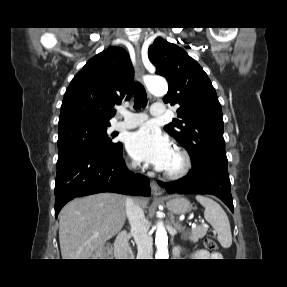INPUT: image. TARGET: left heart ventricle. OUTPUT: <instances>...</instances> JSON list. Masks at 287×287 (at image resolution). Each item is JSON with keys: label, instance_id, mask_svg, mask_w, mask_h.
<instances>
[{"label": "left heart ventricle", "instance_id": "left-heart-ventricle-1", "mask_svg": "<svg viewBox=\"0 0 287 287\" xmlns=\"http://www.w3.org/2000/svg\"><path fill=\"white\" fill-rule=\"evenodd\" d=\"M181 165L180 157L172 151L164 170H175Z\"/></svg>", "mask_w": 287, "mask_h": 287}]
</instances>
